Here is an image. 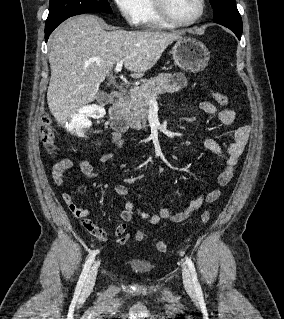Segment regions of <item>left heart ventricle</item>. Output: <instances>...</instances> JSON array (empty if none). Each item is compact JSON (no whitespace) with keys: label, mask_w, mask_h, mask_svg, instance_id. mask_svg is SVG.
<instances>
[{"label":"left heart ventricle","mask_w":284,"mask_h":319,"mask_svg":"<svg viewBox=\"0 0 284 319\" xmlns=\"http://www.w3.org/2000/svg\"><path fill=\"white\" fill-rule=\"evenodd\" d=\"M171 14L182 20L193 18L199 11V0H167Z\"/></svg>","instance_id":"b2bd125f"}]
</instances>
